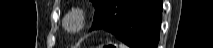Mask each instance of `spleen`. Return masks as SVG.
<instances>
[{
	"label": "spleen",
	"mask_w": 213,
	"mask_h": 48,
	"mask_svg": "<svg viewBox=\"0 0 213 48\" xmlns=\"http://www.w3.org/2000/svg\"><path fill=\"white\" fill-rule=\"evenodd\" d=\"M119 48H128V47L125 46L124 44H119Z\"/></svg>",
	"instance_id": "1"
}]
</instances>
